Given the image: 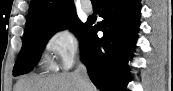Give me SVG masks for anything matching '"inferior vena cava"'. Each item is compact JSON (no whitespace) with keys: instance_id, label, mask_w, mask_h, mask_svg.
<instances>
[{"instance_id":"obj_1","label":"inferior vena cava","mask_w":173,"mask_h":91,"mask_svg":"<svg viewBox=\"0 0 173 91\" xmlns=\"http://www.w3.org/2000/svg\"><path fill=\"white\" fill-rule=\"evenodd\" d=\"M74 74L80 83V86L82 88L81 90L86 91L87 89L85 88L89 86V77L87 74L86 66L83 63L79 62Z\"/></svg>"}]
</instances>
